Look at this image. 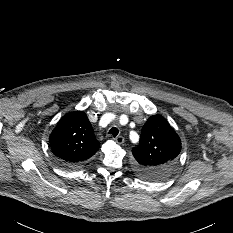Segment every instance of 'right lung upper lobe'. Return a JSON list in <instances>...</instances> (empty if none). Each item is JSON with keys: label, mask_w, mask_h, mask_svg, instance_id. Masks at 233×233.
Listing matches in <instances>:
<instances>
[{"label": "right lung upper lobe", "mask_w": 233, "mask_h": 233, "mask_svg": "<svg viewBox=\"0 0 233 233\" xmlns=\"http://www.w3.org/2000/svg\"><path fill=\"white\" fill-rule=\"evenodd\" d=\"M53 154L70 166L82 164L99 149L100 143L83 111L64 115L49 137Z\"/></svg>", "instance_id": "cb5924a9"}]
</instances>
